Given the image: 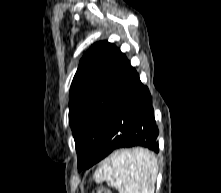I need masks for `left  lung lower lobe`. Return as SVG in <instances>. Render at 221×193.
Returning a JSON list of instances; mask_svg holds the SVG:
<instances>
[{
    "label": "left lung lower lobe",
    "instance_id": "1",
    "mask_svg": "<svg viewBox=\"0 0 221 193\" xmlns=\"http://www.w3.org/2000/svg\"><path fill=\"white\" fill-rule=\"evenodd\" d=\"M158 135L149 90L130 67L113 104L108 131L85 167H92L120 148L140 146L158 153Z\"/></svg>",
    "mask_w": 221,
    "mask_h": 193
}]
</instances>
